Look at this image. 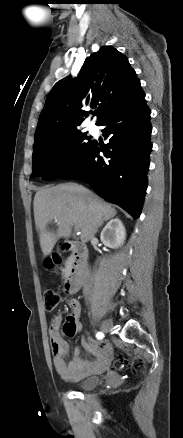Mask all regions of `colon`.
Wrapping results in <instances>:
<instances>
[{"label": "colon", "mask_w": 183, "mask_h": 438, "mask_svg": "<svg viewBox=\"0 0 183 438\" xmlns=\"http://www.w3.org/2000/svg\"><path fill=\"white\" fill-rule=\"evenodd\" d=\"M59 262H60V257L56 256L47 262V266L53 267L55 264H58ZM43 300H44L45 309L47 311H53L58 306L60 298H59V295L55 291H53L51 289H46L43 293ZM64 333H65V335H67L69 337L74 336L76 333L75 325L72 323H68V322L65 323ZM125 364H126V360L124 358H120L115 362V366L117 368H123ZM135 371L137 373L142 372V364L141 363H137L135 365Z\"/></svg>", "instance_id": "5ec220e1"}]
</instances>
